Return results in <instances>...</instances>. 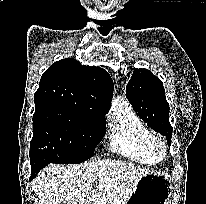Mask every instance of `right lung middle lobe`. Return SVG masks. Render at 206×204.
Listing matches in <instances>:
<instances>
[{"mask_svg": "<svg viewBox=\"0 0 206 204\" xmlns=\"http://www.w3.org/2000/svg\"><path fill=\"white\" fill-rule=\"evenodd\" d=\"M105 128V116L99 114L61 105H35L30 161L81 163L93 157Z\"/></svg>", "mask_w": 206, "mask_h": 204, "instance_id": "dd1d6c3e", "label": "right lung middle lobe"}]
</instances>
